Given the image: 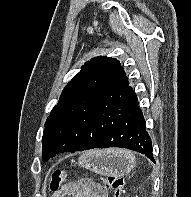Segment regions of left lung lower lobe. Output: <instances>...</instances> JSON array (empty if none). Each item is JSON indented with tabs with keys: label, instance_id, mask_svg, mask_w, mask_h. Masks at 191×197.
I'll list each match as a JSON object with an SVG mask.
<instances>
[{
	"label": "left lung lower lobe",
	"instance_id": "1",
	"mask_svg": "<svg viewBox=\"0 0 191 197\" xmlns=\"http://www.w3.org/2000/svg\"><path fill=\"white\" fill-rule=\"evenodd\" d=\"M128 80L91 98L64 129L73 151L122 147L144 154L155 162L151 139Z\"/></svg>",
	"mask_w": 191,
	"mask_h": 197
}]
</instances>
